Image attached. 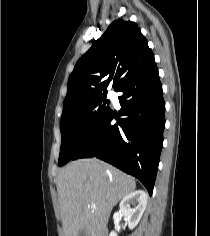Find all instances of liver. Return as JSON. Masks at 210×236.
I'll return each mask as SVG.
<instances>
[{
	"instance_id": "liver-1",
	"label": "liver",
	"mask_w": 210,
	"mask_h": 236,
	"mask_svg": "<svg viewBox=\"0 0 210 236\" xmlns=\"http://www.w3.org/2000/svg\"><path fill=\"white\" fill-rule=\"evenodd\" d=\"M135 189L133 177L96 158L69 163L57 178L65 236H78L82 230L100 236L113 207Z\"/></svg>"
}]
</instances>
